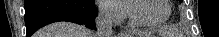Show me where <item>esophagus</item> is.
Masks as SVG:
<instances>
[{"label": "esophagus", "mask_w": 219, "mask_h": 37, "mask_svg": "<svg viewBox=\"0 0 219 37\" xmlns=\"http://www.w3.org/2000/svg\"><path fill=\"white\" fill-rule=\"evenodd\" d=\"M121 34H124V32H123V31H121Z\"/></svg>", "instance_id": "1"}]
</instances>
